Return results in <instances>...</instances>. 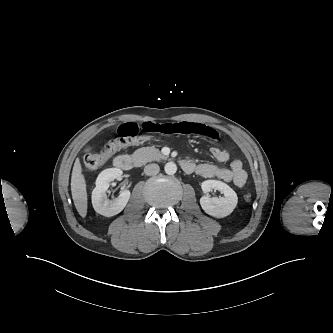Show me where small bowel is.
<instances>
[{"label": "small bowel", "mask_w": 333, "mask_h": 333, "mask_svg": "<svg viewBox=\"0 0 333 333\" xmlns=\"http://www.w3.org/2000/svg\"><path fill=\"white\" fill-rule=\"evenodd\" d=\"M142 131L162 134L201 135L212 140L218 138V133L215 129L195 122H173L165 124H156L153 122L137 124L128 122L118 127V134L122 137H134ZM210 152L219 162L230 160V153L225 149L212 147ZM191 172H196L205 178H218L224 182H232L237 187H243L248 178L240 159H233L229 167H219L210 163L194 164Z\"/></svg>", "instance_id": "obj_1"}]
</instances>
